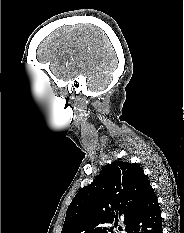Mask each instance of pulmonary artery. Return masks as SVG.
<instances>
[{"label": "pulmonary artery", "mask_w": 184, "mask_h": 233, "mask_svg": "<svg viewBox=\"0 0 184 233\" xmlns=\"http://www.w3.org/2000/svg\"><path fill=\"white\" fill-rule=\"evenodd\" d=\"M122 233H126V231L124 230Z\"/></svg>", "instance_id": "1"}]
</instances>
